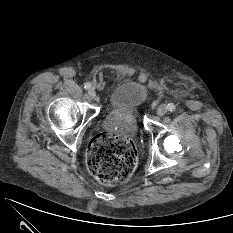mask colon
<instances>
[{
  "label": "colon",
  "mask_w": 233,
  "mask_h": 233,
  "mask_svg": "<svg viewBox=\"0 0 233 233\" xmlns=\"http://www.w3.org/2000/svg\"><path fill=\"white\" fill-rule=\"evenodd\" d=\"M86 162L89 171L102 183L115 185L125 182L132 175L137 152L125 135L103 132L88 145Z\"/></svg>",
  "instance_id": "5ec220e1"
}]
</instances>
